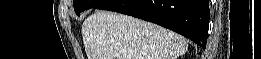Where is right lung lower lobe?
<instances>
[{
    "instance_id": "obj_1",
    "label": "right lung lower lobe",
    "mask_w": 261,
    "mask_h": 59,
    "mask_svg": "<svg viewBox=\"0 0 261 59\" xmlns=\"http://www.w3.org/2000/svg\"><path fill=\"white\" fill-rule=\"evenodd\" d=\"M94 8L131 15L173 30L205 48L208 0H104Z\"/></svg>"
}]
</instances>
